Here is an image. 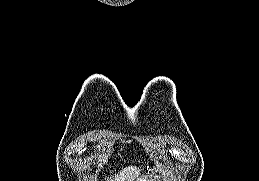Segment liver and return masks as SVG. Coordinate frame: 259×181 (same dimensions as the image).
Segmentation results:
<instances>
[{
	"mask_svg": "<svg viewBox=\"0 0 259 181\" xmlns=\"http://www.w3.org/2000/svg\"><path fill=\"white\" fill-rule=\"evenodd\" d=\"M140 175L139 168L135 166H129L127 168L122 169L119 175H115L114 178L108 177L107 181H135Z\"/></svg>",
	"mask_w": 259,
	"mask_h": 181,
	"instance_id": "obj_1",
	"label": "liver"
}]
</instances>
